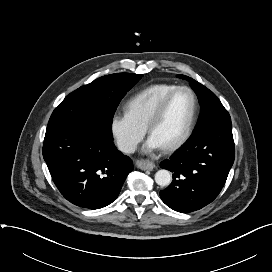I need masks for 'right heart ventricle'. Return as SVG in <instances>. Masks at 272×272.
I'll list each match as a JSON object with an SVG mask.
<instances>
[{"label": "right heart ventricle", "mask_w": 272, "mask_h": 272, "mask_svg": "<svg viewBox=\"0 0 272 272\" xmlns=\"http://www.w3.org/2000/svg\"><path fill=\"white\" fill-rule=\"evenodd\" d=\"M177 85L159 83L145 87L126 103V113L140 126L147 128L148 121L160 101Z\"/></svg>", "instance_id": "e07e8e85"}]
</instances>
